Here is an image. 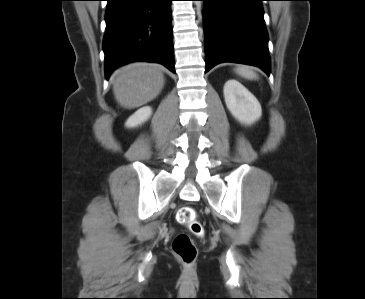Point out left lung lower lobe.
Instances as JSON below:
<instances>
[{"label": "left lung lower lobe", "mask_w": 365, "mask_h": 299, "mask_svg": "<svg viewBox=\"0 0 365 299\" xmlns=\"http://www.w3.org/2000/svg\"><path fill=\"white\" fill-rule=\"evenodd\" d=\"M204 1L205 72L222 62L260 67L270 74L263 0Z\"/></svg>", "instance_id": "0a47b994"}]
</instances>
